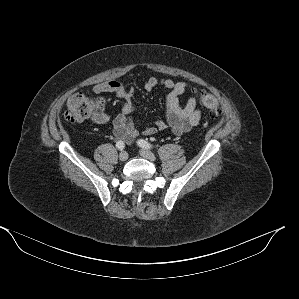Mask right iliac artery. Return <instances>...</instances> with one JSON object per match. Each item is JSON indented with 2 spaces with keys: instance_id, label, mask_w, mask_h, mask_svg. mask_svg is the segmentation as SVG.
Returning <instances> with one entry per match:
<instances>
[{
  "instance_id": "1",
  "label": "right iliac artery",
  "mask_w": 299,
  "mask_h": 299,
  "mask_svg": "<svg viewBox=\"0 0 299 299\" xmlns=\"http://www.w3.org/2000/svg\"><path fill=\"white\" fill-rule=\"evenodd\" d=\"M116 147L119 149V150H123L124 149V147H125V144H124V142L123 141H117L116 142Z\"/></svg>"
}]
</instances>
